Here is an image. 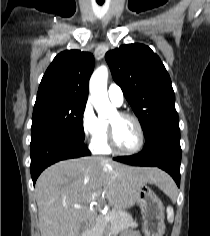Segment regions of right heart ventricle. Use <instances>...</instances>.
<instances>
[{"label": "right heart ventricle", "instance_id": "1", "mask_svg": "<svg viewBox=\"0 0 210 236\" xmlns=\"http://www.w3.org/2000/svg\"><path fill=\"white\" fill-rule=\"evenodd\" d=\"M102 121L104 123V131L98 139L91 143V149L96 154H110L112 150L108 143V122Z\"/></svg>", "mask_w": 210, "mask_h": 236}]
</instances>
